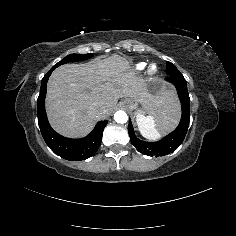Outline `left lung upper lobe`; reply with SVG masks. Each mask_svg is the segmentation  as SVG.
<instances>
[{
	"instance_id": "1",
	"label": "left lung upper lobe",
	"mask_w": 236,
	"mask_h": 236,
	"mask_svg": "<svg viewBox=\"0 0 236 236\" xmlns=\"http://www.w3.org/2000/svg\"><path fill=\"white\" fill-rule=\"evenodd\" d=\"M169 67H166V72L168 75H177V74H181L179 72V70L176 68L175 65H173L171 62L170 64H168ZM166 66H167V63H166Z\"/></svg>"
}]
</instances>
